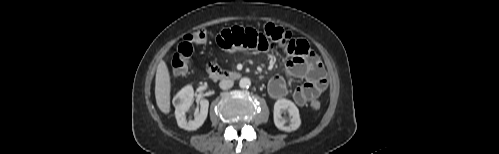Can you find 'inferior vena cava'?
I'll return each instance as SVG.
<instances>
[{
	"mask_svg": "<svg viewBox=\"0 0 499 154\" xmlns=\"http://www.w3.org/2000/svg\"><path fill=\"white\" fill-rule=\"evenodd\" d=\"M234 82L231 79H223L219 83V87L223 90H227L233 86Z\"/></svg>",
	"mask_w": 499,
	"mask_h": 154,
	"instance_id": "602c4592",
	"label": "inferior vena cava"
}]
</instances>
